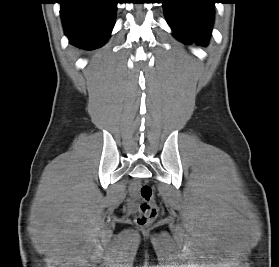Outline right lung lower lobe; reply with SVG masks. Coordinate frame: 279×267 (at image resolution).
<instances>
[{
    "mask_svg": "<svg viewBox=\"0 0 279 267\" xmlns=\"http://www.w3.org/2000/svg\"><path fill=\"white\" fill-rule=\"evenodd\" d=\"M69 41L86 50L100 48L114 26L117 0H60Z\"/></svg>",
    "mask_w": 279,
    "mask_h": 267,
    "instance_id": "1",
    "label": "right lung lower lobe"
}]
</instances>
